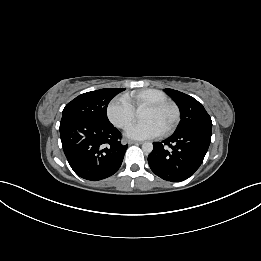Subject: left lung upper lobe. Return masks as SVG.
Segmentation results:
<instances>
[{
    "instance_id": "obj_1",
    "label": "left lung upper lobe",
    "mask_w": 261,
    "mask_h": 261,
    "mask_svg": "<svg viewBox=\"0 0 261 261\" xmlns=\"http://www.w3.org/2000/svg\"><path fill=\"white\" fill-rule=\"evenodd\" d=\"M165 92L173 98L181 113L176 132L200 126L212 127L211 117L195 98L173 89H165Z\"/></svg>"
}]
</instances>
